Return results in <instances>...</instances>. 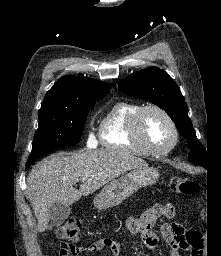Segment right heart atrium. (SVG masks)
I'll return each instance as SVG.
<instances>
[{"label": "right heart atrium", "instance_id": "1", "mask_svg": "<svg viewBox=\"0 0 221 256\" xmlns=\"http://www.w3.org/2000/svg\"><path fill=\"white\" fill-rule=\"evenodd\" d=\"M88 143L89 144H93L94 143V137H93L92 134H90L89 137H88Z\"/></svg>", "mask_w": 221, "mask_h": 256}]
</instances>
